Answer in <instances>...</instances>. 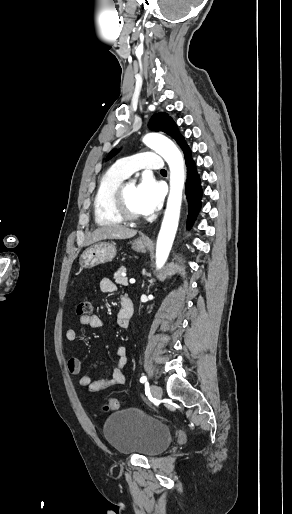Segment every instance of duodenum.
<instances>
[{
  "label": "duodenum",
  "instance_id": "410a0bca",
  "mask_svg": "<svg viewBox=\"0 0 292 514\" xmlns=\"http://www.w3.org/2000/svg\"><path fill=\"white\" fill-rule=\"evenodd\" d=\"M121 308L123 309L125 315L127 318H130L133 316L134 313V303L133 300L129 297H122L120 299Z\"/></svg>",
  "mask_w": 292,
  "mask_h": 514
}]
</instances>
